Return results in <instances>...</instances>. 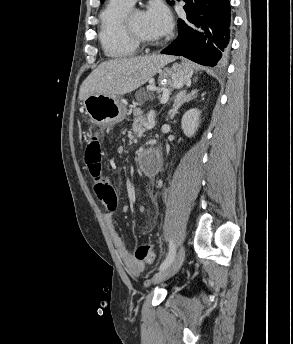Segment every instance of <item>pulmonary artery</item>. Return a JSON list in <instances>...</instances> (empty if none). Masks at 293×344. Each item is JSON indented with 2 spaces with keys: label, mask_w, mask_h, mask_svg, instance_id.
Instances as JSON below:
<instances>
[{
  "label": "pulmonary artery",
  "mask_w": 293,
  "mask_h": 344,
  "mask_svg": "<svg viewBox=\"0 0 293 344\" xmlns=\"http://www.w3.org/2000/svg\"><path fill=\"white\" fill-rule=\"evenodd\" d=\"M114 1L121 2V3H126V4H129V5H133L136 2V0H114Z\"/></svg>",
  "instance_id": "1"
}]
</instances>
